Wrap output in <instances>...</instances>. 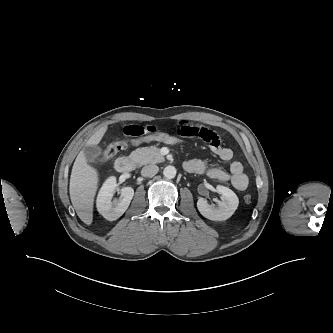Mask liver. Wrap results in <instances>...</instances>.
<instances>
[{
  "label": "liver",
  "instance_id": "obj_1",
  "mask_svg": "<svg viewBox=\"0 0 333 333\" xmlns=\"http://www.w3.org/2000/svg\"><path fill=\"white\" fill-rule=\"evenodd\" d=\"M106 130L107 126L98 129L87 141L86 146L99 144ZM98 182L97 170L87 163L84 151H80L73 164L69 193L78 217L87 225L93 222V204Z\"/></svg>",
  "mask_w": 333,
  "mask_h": 333
}]
</instances>
